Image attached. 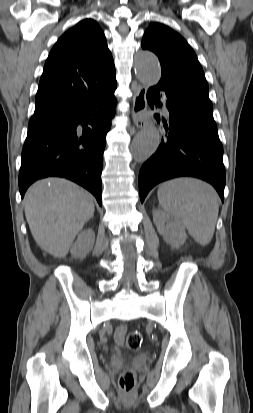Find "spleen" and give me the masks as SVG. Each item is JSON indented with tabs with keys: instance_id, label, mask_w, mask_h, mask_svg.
<instances>
[{
	"instance_id": "3e777b00",
	"label": "spleen",
	"mask_w": 253,
	"mask_h": 413,
	"mask_svg": "<svg viewBox=\"0 0 253 413\" xmlns=\"http://www.w3.org/2000/svg\"><path fill=\"white\" fill-rule=\"evenodd\" d=\"M160 206L181 219L193 239L202 246L213 237L219 211V196L208 183L195 178H177L160 185Z\"/></svg>"
}]
</instances>
